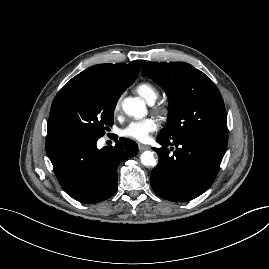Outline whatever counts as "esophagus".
<instances>
[{
    "mask_svg": "<svg viewBox=\"0 0 269 269\" xmlns=\"http://www.w3.org/2000/svg\"><path fill=\"white\" fill-rule=\"evenodd\" d=\"M138 148L140 151H143L149 149L150 147L144 144H138Z\"/></svg>",
    "mask_w": 269,
    "mask_h": 269,
    "instance_id": "esophagus-1",
    "label": "esophagus"
}]
</instances>
